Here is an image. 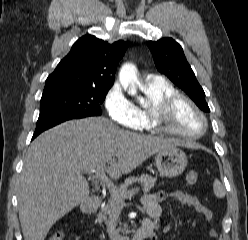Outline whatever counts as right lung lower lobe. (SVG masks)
Wrapping results in <instances>:
<instances>
[{
    "label": "right lung lower lobe",
    "mask_w": 248,
    "mask_h": 240,
    "mask_svg": "<svg viewBox=\"0 0 248 240\" xmlns=\"http://www.w3.org/2000/svg\"><path fill=\"white\" fill-rule=\"evenodd\" d=\"M70 119H59V118H46V119H38L36 130L33 134L32 139H34L36 136H38L41 132L56 126L64 121H67Z\"/></svg>",
    "instance_id": "1"
}]
</instances>
